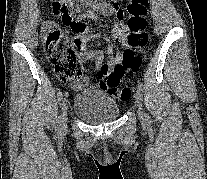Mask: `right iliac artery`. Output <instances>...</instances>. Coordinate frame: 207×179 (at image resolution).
Wrapping results in <instances>:
<instances>
[{
	"mask_svg": "<svg viewBox=\"0 0 207 179\" xmlns=\"http://www.w3.org/2000/svg\"><path fill=\"white\" fill-rule=\"evenodd\" d=\"M57 98H58V102H59V104L61 105V103H62V101H63V94H62V92H59V93H58Z\"/></svg>",
	"mask_w": 207,
	"mask_h": 179,
	"instance_id": "82829eb1",
	"label": "right iliac artery"
}]
</instances>
